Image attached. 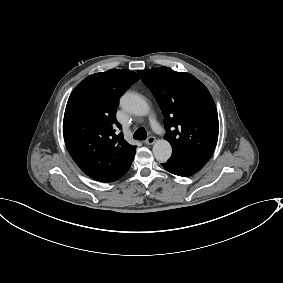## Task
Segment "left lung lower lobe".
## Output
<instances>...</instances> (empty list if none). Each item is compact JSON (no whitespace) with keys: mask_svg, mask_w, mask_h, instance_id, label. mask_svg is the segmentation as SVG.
Returning <instances> with one entry per match:
<instances>
[{"mask_svg":"<svg viewBox=\"0 0 283 283\" xmlns=\"http://www.w3.org/2000/svg\"><path fill=\"white\" fill-rule=\"evenodd\" d=\"M165 170L178 176H190L202 169L203 165L180 157L171 156L162 164Z\"/></svg>","mask_w":283,"mask_h":283,"instance_id":"left-lung-lower-lobe-1","label":"left lung lower lobe"}]
</instances>
